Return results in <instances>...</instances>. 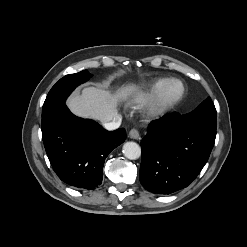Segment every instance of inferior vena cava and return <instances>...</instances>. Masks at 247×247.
Here are the masks:
<instances>
[{
  "label": "inferior vena cava",
  "mask_w": 247,
  "mask_h": 247,
  "mask_svg": "<svg viewBox=\"0 0 247 247\" xmlns=\"http://www.w3.org/2000/svg\"><path fill=\"white\" fill-rule=\"evenodd\" d=\"M121 120L122 117L120 115H117L111 122H106L103 125L107 130L112 131L119 128Z\"/></svg>",
  "instance_id": "602c4592"
}]
</instances>
